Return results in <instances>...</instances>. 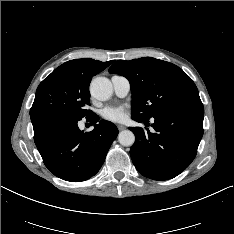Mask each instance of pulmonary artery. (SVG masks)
<instances>
[{"label": "pulmonary artery", "mask_w": 234, "mask_h": 234, "mask_svg": "<svg viewBox=\"0 0 234 234\" xmlns=\"http://www.w3.org/2000/svg\"><path fill=\"white\" fill-rule=\"evenodd\" d=\"M111 81L117 96L125 97L129 93L131 86L129 80L126 77L114 75L111 78Z\"/></svg>", "instance_id": "obj_1"}]
</instances>
